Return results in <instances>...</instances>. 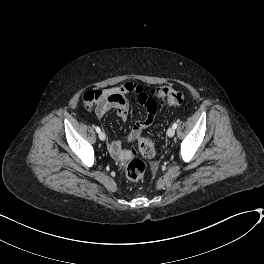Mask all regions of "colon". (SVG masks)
Returning a JSON list of instances; mask_svg holds the SVG:
<instances>
[{"instance_id": "5ec220e1", "label": "colon", "mask_w": 264, "mask_h": 264, "mask_svg": "<svg viewBox=\"0 0 264 264\" xmlns=\"http://www.w3.org/2000/svg\"><path fill=\"white\" fill-rule=\"evenodd\" d=\"M139 102L144 104L148 109L153 108L157 103L162 105H177L183 102L184 94L180 91L173 90L169 87H158L149 93L141 92L137 96ZM136 126L142 128L141 122H137ZM138 149L146 158H152L155 155V145L152 138L142 136L138 140ZM146 171V165L139 159L132 160L126 168V177L131 181L140 180Z\"/></svg>"}]
</instances>
